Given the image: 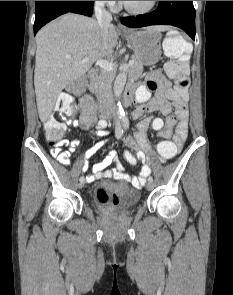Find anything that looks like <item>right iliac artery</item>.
<instances>
[{
	"instance_id": "1",
	"label": "right iliac artery",
	"mask_w": 233,
	"mask_h": 295,
	"mask_svg": "<svg viewBox=\"0 0 233 295\" xmlns=\"http://www.w3.org/2000/svg\"><path fill=\"white\" fill-rule=\"evenodd\" d=\"M122 134H123V129L120 125V121L118 120L117 121V126H116V130H115V136L117 139L121 138L122 137ZM84 179V177H80V180Z\"/></svg>"
}]
</instances>
